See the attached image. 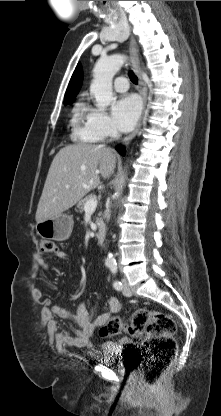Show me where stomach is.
<instances>
[{
  "mask_svg": "<svg viewBox=\"0 0 221 416\" xmlns=\"http://www.w3.org/2000/svg\"><path fill=\"white\" fill-rule=\"evenodd\" d=\"M72 229L73 219L67 214H59L52 219L36 224V231L40 237L55 241L67 240L72 233Z\"/></svg>",
  "mask_w": 221,
  "mask_h": 416,
  "instance_id": "obj_1",
  "label": "stomach"
}]
</instances>
